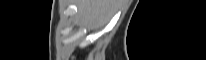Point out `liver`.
<instances>
[{"label": "liver", "mask_w": 206, "mask_h": 60, "mask_svg": "<svg viewBox=\"0 0 206 60\" xmlns=\"http://www.w3.org/2000/svg\"><path fill=\"white\" fill-rule=\"evenodd\" d=\"M77 19L84 26L98 29L106 25L120 7V0H75Z\"/></svg>", "instance_id": "liver-1"}]
</instances>
